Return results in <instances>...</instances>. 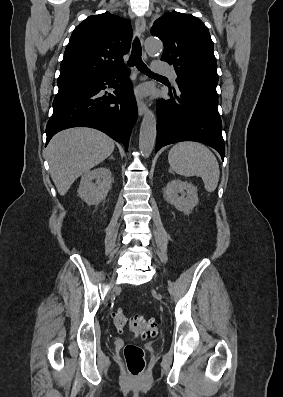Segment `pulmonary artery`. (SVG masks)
<instances>
[{"instance_id":"obj_1","label":"pulmonary artery","mask_w":283,"mask_h":397,"mask_svg":"<svg viewBox=\"0 0 283 397\" xmlns=\"http://www.w3.org/2000/svg\"><path fill=\"white\" fill-rule=\"evenodd\" d=\"M153 69H154V71H155L156 73L164 74V75H169V76H171L174 80H175L176 77H177L175 71H174L172 68L166 66L163 62L156 61V62L154 63Z\"/></svg>"}]
</instances>
